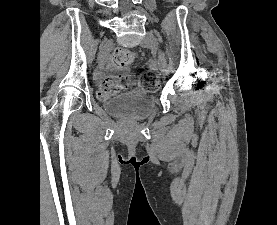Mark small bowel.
I'll use <instances>...</instances> for the list:
<instances>
[{
	"label": "small bowel",
	"instance_id": "c3829d8e",
	"mask_svg": "<svg viewBox=\"0 0 277 225\" xmlns=\"http://www.w3.org/2000/svg\"><path fill=\"white\" fill-rule=\"evenodd\" d=\"M98 79L101 80V81L104 79L103 66H101L99 71H98Z\"/></svg>",
	"mask_w": 277,
	"mask_h": 225
}]
</instances>
